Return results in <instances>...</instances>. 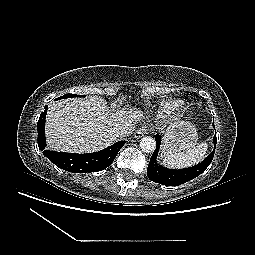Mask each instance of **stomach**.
<instances>
[{
  "mask_svg": "<svg viewBox=\"0 0 255 255\" xmlns=\"http://www.w3.org/2000/svg\"><path fill=\"white\" fill-rule=\"evenodd\" d=\"M198 140L195 125L189 121L170 123L164 134L162 154H175L181 150L192 148Z\"/></svg>",
  "mask_w": 255,
  "mask_h": 255,
  "instance_id": "stomach-1",
  "label": "stomach"
}]
</instances>
